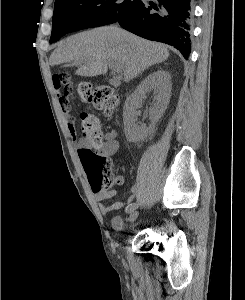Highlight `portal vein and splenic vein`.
I'll return each instance as SVG.
<instances>
[{
  "label": "portal vein and splenic vein",
  "instance_id": "portal-vein-and-splenic-vein-1",
  "mask_svg": "<svg viewBox=\"0 0 245 300\" xmlns=\"http://www.w3.org/2000/svg\"><path fill=\"white\" fill-rule=\"evenodd\" d=\"M109 67H110L113 71H115L116 73H120V72H121L120 67L117 66L115 63L110 62V63H109Z\"/></svg>",
  "mask_w": 245,
  "mask_h": 300
}]
</instances>
